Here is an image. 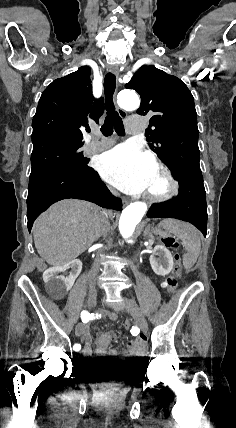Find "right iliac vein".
<instances>
[{"mask_svg": "<svg viewBox=\"0 0 236 428\" xmlns=\"http://www.w3.org/2000/svg\"><path fill=\"white\" fill-rule=\"evenodd\" d=\"M86 302L88 305H90L89 307L92 308H96L97 307V299L93 294H88L86 296ZM87 340V335L83 334L82 337L80 338V344H83L84 341Z\"/></svg>", "mask_w": 236, "mask_h": 428, "instance_id": "obj_1", "label": "right iliac vein"}]
</instances>
